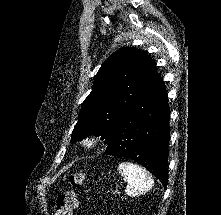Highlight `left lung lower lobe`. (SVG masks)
I'll return each instance as SVG.
<instances>
[{"mask_svg":"<svg viewBox=\"0 0 221 215\" xmlns=\"http://www.w3.org/2000/svg\"><path fill=\"white\" fill-rule=\"evenodd\" d=\"M169 118L167 92L158 74L115 127L105 154L135 160L166 187Z\"/></svg>","mask_w":221,"mask_h":215,"instance_id":"0a47b994","label":"left lung lower lobe"}]
</instances>
